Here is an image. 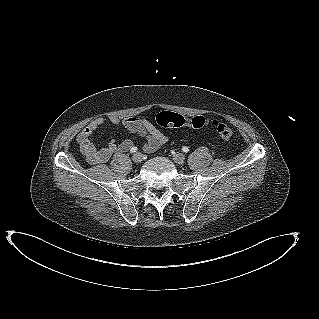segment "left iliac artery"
I'll list each match as a JSON object with an SVG mask.
<instances>
[{
    "label": "left iliac artery",
    "instance_id": "1",
    "mask_svg": "<svg viewBox=\"0 0 319 319\" xmlns=\"http://www.w3.org/2000/svg\"><path fill=\"white\" fill-rule=\"evenodd\" d=\"M182 151L185 152V153H187V152H189V148L186 147V146H184V147H182Z\"/></svg>",
    "mask_w": 319,
    "mask_h": 319
}]
</instances>
